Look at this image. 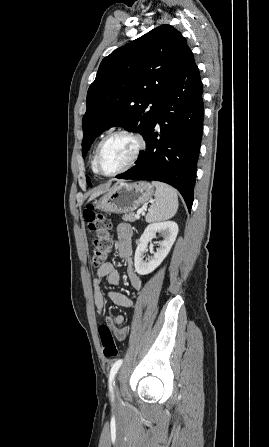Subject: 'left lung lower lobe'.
Returning a JSON list of instances; mask_svg holds the SVG:
<instances>
[{
    "label": "left lung lower lobe",
    "mask_w": 269,
    "mask_h": 447,
    "mask_svg": "<svg viewBox=\"0 0 269 447\" xmlns=\"http://www.w3.org/2000/svg\"><path fill=\"white\" fill-rule=\"evenodd\" d=\"M202 96L199 70L189 48L146 133V150L138 156L136 166L116 178L170 184L190 211L203 133Z\"/></svg>",
    "instance_id": "1"
}]
</instances>
